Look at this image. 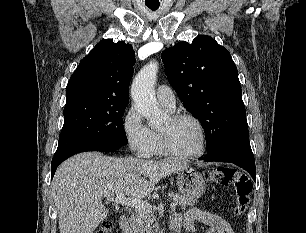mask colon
Segmentation results:
<instances>
[{
    "mask_svg": "<svg viewBox=\"0 0 306 233\" xmlns=\"http://www.w3.org/2000/svg\"><path fill=\"white\" fill-rule=\"evenodd\" d=\"M208 177L217 185L235 189L234 215L242 216L247 212L252 183L244 172L232 167H218L210 172ZM112 229V222L106 219L95 230V233H112Z\"/></svg>",
    "mask_w": 306,
    "mask_h": 233,
    "instance_id": "1",
    "label": "colon"
}]
</instances>
